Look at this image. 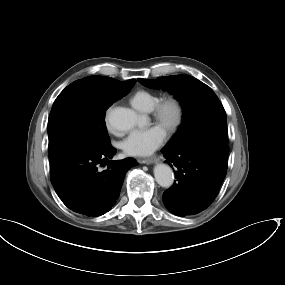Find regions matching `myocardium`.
<instances>
[{
  "label": "myocardium",
  "mask_w": 285,
  "mask_h": 285,
  "mask_svg": "<svg viewBox=\"0 0 285 285\" xmlns=\"http://www.w3.org/2000/svg\"><path fill=\"white\" fill-rule=\"evenodd\" d=\"M173 110L172 119H167V110ZM153 119L161 124L169 134L178 131L184 121V106L182 101L173 95L161 98L152 108Z\"/></svg>",
  "instance_id": "myocardium-1"
}]
</instances>
